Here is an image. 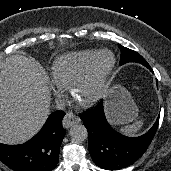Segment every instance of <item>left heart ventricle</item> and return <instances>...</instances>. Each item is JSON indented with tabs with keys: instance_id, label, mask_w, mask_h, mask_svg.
I'll return each instance as SVG.
<instances>
[{
	"instance_id": "left-heart-ventricle-1",
	"label": "left heart ventricle",
	"mask_w": 171,
	"mask_h": 171,
	"mask_svg": "<svg viewBox=\"0 0 171 171\" xmlns=\"http://www.w3.org/2000/svg\"><path fill=\"white\" fill-rule=\"evenodd\" d=\"M110 61L111 56L108 53H103L98 57L90 76L77 89L76 98L78 101H85L96 92L98 76Z\"/></svg>"
}]
</instances>
